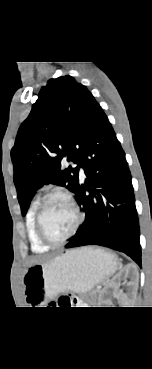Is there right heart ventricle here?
Instances as JSON below:
<instances>
[{"instance_id": "e07e8e85", "label": "right heart ventricle", "mask_w": 152, "mask_h": 369, "mask_svg": "<svg viewBox=\"0 0 152 369\" xmlns=\"http://www.w3.org/2000/svg\"><path fill=\"white\" fill-rule=\"evenodd\" d=\"M38 206H39L38 199L34 200L31 203L28 209V212H27V216H26V228H27L28 239H29L32 250L37 253H42V252L47 251L49 246L42 243L36 233L35 216H36Z\"/></svg>"}]
</instances>
